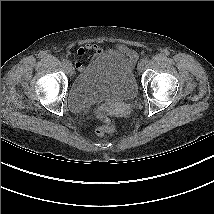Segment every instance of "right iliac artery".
I'll list each match as a JSON object with an SVG mask.
<instances>
[{
	"label": "right iliac artery",
	"instance_id": "82829eb1",
	"mask_svg": "<svg viewBox=\"0 0 214 214\" xmlns=\"http://www.w3.org/2000/svg\"><path fill=\"white\" fill-rule=\"evenodd\" d=\"M62 63L65 64V65H67L69 62L66 59H63Z\"/></svg>",
	"mask_w": 214,
	"mask_h": 214
}]
</instances>
